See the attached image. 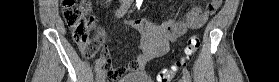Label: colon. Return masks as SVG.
Instances as JSON below:
<instances>
[{
  "label": "colon",
  "mask_w": 279,
  "mask_h": 82,
  "mask_svg": "<svg viewBox=\"0 0 279 82\" xmlns=\"http://www.w3.org/2000/svg\"><path fill=\"white\" fill-rule=\"evenodd\" d=\"M62 16L65 24L71 30L73 40L79 46L84 45L82 53L85 58L92 57V47L88 44V33L97 23L95 15L91 11V3L87 0H60ZM208 4L219 7L222 0H210ZM200 46V39L193 35L188 39L184 49L185 57L168 68L160 70L157 74V82H171L172 78L179 72L185 60L192 55Z\"/></svg>",
  "instance_id": "obj_1"
}]
</instances>
